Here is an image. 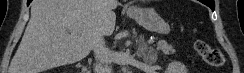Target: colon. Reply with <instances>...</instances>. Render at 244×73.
<instances>
[{
    "instance_id": "obj_1",
    "label": "colon",
    "mask_w": 244,
    "mask_h": 73,
    "mask_svg": "<svg viewBox=\"0 0 244 73\" xmlns=\"http://www.w3.org/2000/svg\"><path fill=\"white\" fill-rule=\"evenodd\" d=\"M194 48L198 55L210 66L220 68L225 64V56L223 52L203 39L194 40Z\"/></svg>"
}]
</instances>
